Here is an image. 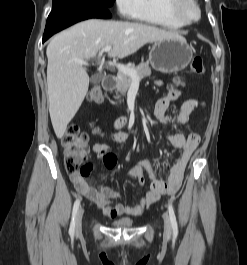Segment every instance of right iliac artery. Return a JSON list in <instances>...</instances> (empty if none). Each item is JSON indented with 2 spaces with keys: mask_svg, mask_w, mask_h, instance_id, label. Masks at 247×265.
Instances as JSON below:
<instances>
[{
  "mask_svg": "<svg viewBox=\"0 0 247 265\" xmlns=\"http://www.w3.org/2000/svg\"><path fill=\"white\" fill-rule=\"evenodd\" d=\"M79 205H80V199H77L74 203V206H73L72 219H71V224H70V228H69V234L71 236H73L74 232H75L76 214H77Z\"/></svg>",
  "mask_w": 247,
  "mask_h": 265,
  "instance_id": "obj_1",
  "label": "right iliac artery"
}]
</instances>
